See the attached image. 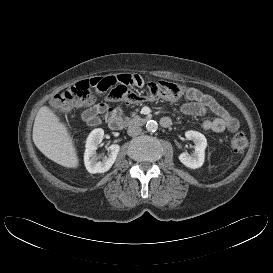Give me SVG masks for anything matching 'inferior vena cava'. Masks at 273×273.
Returning <instances> with one entry per match:
<instances>
[{
    "instance_id": "1",
    "label": "inferior vena cava",
    "mask_w": 273,
    "mask_h": 273,
    "mask_svg": "<svg viewBox=\"0 0 273 273\" xmlns=\"http://www.w3.org/2000/svg\"><path fill=\"white\" fill-rule=\"evenodd\" d=\"M141 127H139L138 125H130L128 127L127 133L129 136H137L141 133Z\"/></svg>"
}]
</instances>
